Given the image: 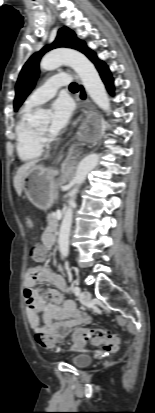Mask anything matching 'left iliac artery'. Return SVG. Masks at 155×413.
I'll use <instances>...</instances> for the list:
<instances>
[{"instance_id": "44dca946", "label": "left iliac artery", "mask_w": 155, "mask_h": 413, "mask_svg": "<svg viewBox=\"0 0 155 413\" xmlns=\"http://www.w3.org/2000/svg\"><path fill=\"white\" fill-rule=\"evenodd\" d=\"M73 292H74V294H75L76 296L80 295V292H81L80 287L75 286V287L73 288Z\"/></svg>"}]
</instances>
